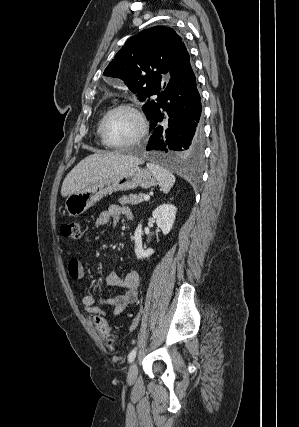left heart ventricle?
Wrapping results in <instances>:
<instances>
[{"mask_svg": "<svg viewBox=\"0 0 299 427\" xmlns=\"http://www.w3.org/2000/svg\"><path fill=\"white\" fill-rule=\"evenodd\" d=\"M139 129L136 117L126 110L114 112L106 122L105 135L108 142L122 144L130 141Z\"/></svg>", "mask_w": 299, "mask_h": 427, "instance_id": "left-heart-ventricle-1", "label": "left heart ventricle"}]
</instances>
